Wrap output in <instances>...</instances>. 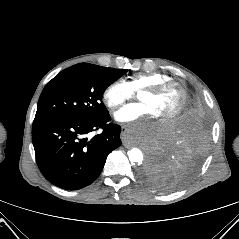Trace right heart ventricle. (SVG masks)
Here are the masks:
<instances>
[{
    "label": "right heart ventricle",
    "mask_w": 239,
    "mask_h": 239,
    "mask_svg": "<svg viewBox=\"0 0 239 239\" xmlns=\"http://www.w3.org/2000/svg\"><path fill=\"white\" fill-rule=\"evenodd\" d=\"M169 80H171V78L168 75L159 72L138 73L131 76L127 83L133 92H140L147 87Z\"/></svg>",
    "instance_id": "obj_1"
}]
</instances>
